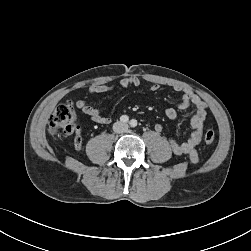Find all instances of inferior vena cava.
<instances>
[{
	"instance_id": "inferior-vena-cava-1",
	"label": "inferior vena cava",
	"mask_w": 251,
	"mask_h": 251,
	"mask_svg": "<svg viewBox=\"0 0 251 251\" xmlns=\"http://www.w3.org/2000/svg\"><path fill=\"white\" fill-rule=\"evenodd\" d=\"M128 130V125L123 122H116L113 125V131L115 133H125Z\"/></svg>"
}]
</instances>
